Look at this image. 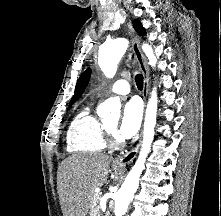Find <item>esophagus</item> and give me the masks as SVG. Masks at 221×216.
Returning a JSON list of instances; mask_svg holds the SVG:
<instances>
[{
  "mask_svg": "<svg viewBox=\"0 0 221 216\" xmlns=\"http://www.w3.org/2000/svg\"><path fill=\"white\" fill-rule=\"evenodd\" d=\"M129 29L133 34V43H132L133 51L136 56L140 70L142 71L143 76H144V86H143L142 97H143L144 102L146 103V98H147L148 91H149V70L147 67L146 58L140 49V40L137 36L134 35L133 33L134 30L131 24H129ZM140 145H141V140L131 151L126 152L125 154L119 156L116 159L115 163L120 166H125L131 163L136 157L139 151Z\"/></svg>",
  "mask_w": 221,
  "mask_h": 216,
  "instance_id": "obj_1",
  "label": "esophagus"
}]
</instances>
